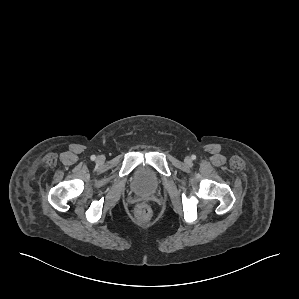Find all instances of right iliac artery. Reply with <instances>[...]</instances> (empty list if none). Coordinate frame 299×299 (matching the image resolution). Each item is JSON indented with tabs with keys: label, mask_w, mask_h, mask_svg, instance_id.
I'll return each instance as SVG.
<instances>
[{
	"label": "right iliac artery",
	"mask_w": 299,
	"mask_h": 299,
	"mask_svg": "<svg viewBox=\"0 0 299 299\" xmlns=\"http://www.w3.org/2000/svg\"><path fill=\"white\" fill-rule=\"evenodd\" d=\"M96 159V156L95 155H92L91 156V160H95Z\"/></svg>",
	"instance_id": "right-iliac-artery-1"
}]
</instances>
